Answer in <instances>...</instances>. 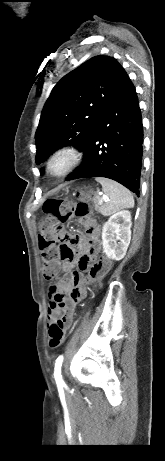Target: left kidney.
I'll return each mask as SVG.
<instances>
[{
  "label": "left kidney",
  "mask_w": 165,
  "mask_h": 461,
  "mask_svg": "<svg viewBox=\"0 0 165 461\" xmlns=\"http://www.w3.org/2000/svg\"><path fill=\"white\" fill-rule=\"evenodd\" d=\"M131 212L119 211L108 219L102 229L103 252L108 258H124L131 240ZM117 241H119L117 243Z\"/></svg>",
  "instance_id": "1"
}]
</instances>
